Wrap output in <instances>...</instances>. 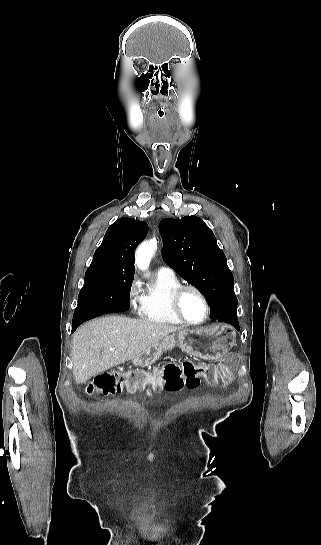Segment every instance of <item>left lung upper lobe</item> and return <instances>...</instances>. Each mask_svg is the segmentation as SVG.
<instances>
[{
    "label": "left lung upper lobe",
    "instance_id": "obj_1",
    "mask_svg": "<svg viewBox=\"0 0 321 545\" xmlns=\"http://www.w3.org/2000/svg\"><path fill=\"white\" fill-rule=\"evenodd\" d=\"M163 260L207 298L210 312L237 308L234 280L212 230L196 216L159 224Z\"/></svg>",
    "mask_w": 321,
    "mask_h": 545
}]
</instances>
